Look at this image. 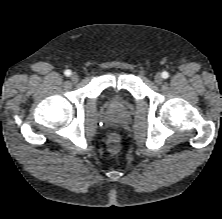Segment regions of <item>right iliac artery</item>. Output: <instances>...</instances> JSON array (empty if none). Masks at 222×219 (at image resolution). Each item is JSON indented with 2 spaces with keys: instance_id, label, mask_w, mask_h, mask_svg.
I'll return each mask as SVG.
<instances>
[{
  "instance_id": "1",
  "label": "right iliac artery",
  "mask_w": 222,
  "mask_h": 219,
  "mask_svg": "<svg viewBox=\"0 0 222 219\" xmlns=\"http://www.w3.org/2000/svg\"><path fill=\"white\" fill-rule=\"evenodd\" d=\"M64 74H65L66 76H70V75H71V71H70L69 69H67V70H65Z\"/></svg>"
}]
</instances>
